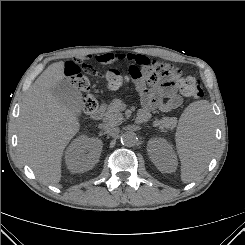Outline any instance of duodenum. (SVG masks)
<instances>
[{
	"instance_id": "1",
	"label": "duodenum",
	"mask_w": 245,
	"mask_h": 245,
	"mask_svg": "<svg viewBox=\"0 0 245 245\" xmlns=\"http://www.w3.org/2000/svg\"><path fill=\"white\" fill-rule=\"evenodd\" d=\"M103 114V106H98L93 112H92V118L94 120H99L102 117Z\"/></svg>"
}]
</instances>
